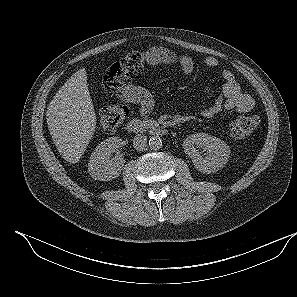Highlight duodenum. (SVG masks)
Here are the masks:
<instances>
[{"instance_id":"obj_1","label":"duodenum","mask_w":297,"mask_h":297,"mask_svg":"<svg viewBox=\"0 0 297 297\" xmlns=\"http://www.w3.org/2000/svg\"><path fill=\"white\" fill-rule=\"evenodd\" d=\"M125 130L129 133L139 134L142 132H149L154 135H165L166 128L153 123H147L141 119H131L125 125Z\"/></svg>"}]
</instances>
